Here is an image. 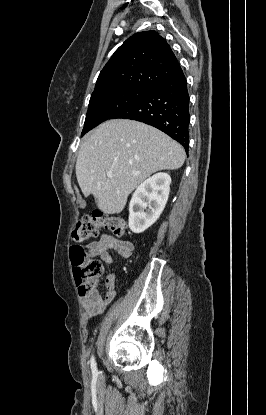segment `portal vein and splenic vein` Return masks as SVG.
<instances>
[{
    "instance_id": "1",
    "label": "portal vein and splenic vein",
    "mask_w": 266,
    "mask_h": 415,
    "mask_svg": "<svg viewBox=\"0 0 266 415\" xmlns=\"http://www.w3.org/2000/svg\"><path fill=\"white\" fill-rule=\"evenodd\" d=\"M107 177L108 178H112L113 177V173L112 172L107 173Z\"/></svg>"
}]
</instances>
